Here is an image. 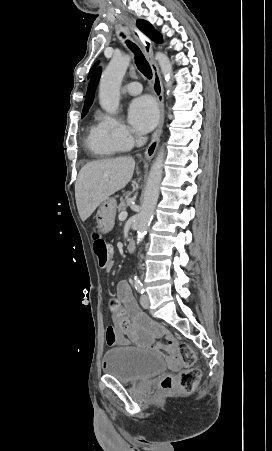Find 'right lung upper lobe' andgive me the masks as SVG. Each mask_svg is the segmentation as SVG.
Returning <instances> with one entry per match:
<instances>
[{
    "label": "right lung upper lobe",
    "mask_w": 272,
    "mask_h": 451,
    "mask_svg": "<svg viewBox=\"0 0 272 451\" xmlns=\"http://www.w3.org/2000/svg\"><path fill=\"white\" fill-rule=\"evenodd\" d=\"M100 74H101V68L97 69L92 76L91 82L89 83V86H88L84 108H89L93 102L94 95H95V89L97 87V84H98V81L100 78Z\"/></svg>",
    "instance_id": "cb5924a9"
}]
</instances>
